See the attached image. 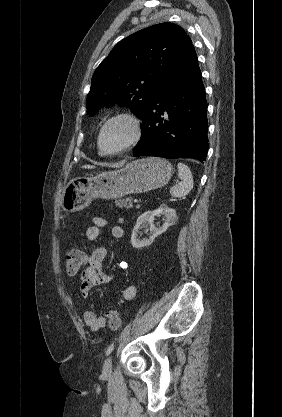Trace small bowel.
Masks as SVG:
<instances>
[{"label": "small bowel", "mask_w": 282, "mask_h": 417, "mask_svg": "<svg viewBox=\"0 0 282 417\" xmlns=\"http://www.w3.org/2000/svg\"><path fill=\"white\" fill-rule=\"evenodd\" d=\"M89 223L86 229V237L89 241H97L100 236V227L106 225L107 219L103 216H96L90 218ZM111 235L115 239H121L124 236L122 226L113 225L111 227ZM106 255V248L97 246L86 256V267L80 277L79 293L82 299H87L95 287L108 283L113 279V273L103 264ZM121 266H126V264ZM136 293V286L129 285L122 291V298L126 301L132 300L135 298ZM83 318L85 324L93 331L105 328L103 316H97L92 311H85Z\"/></svg>", "instance_id": "1"}]
</instances>
